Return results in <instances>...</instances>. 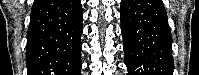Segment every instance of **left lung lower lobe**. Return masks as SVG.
Wrapping results in <instances>:
<instances>
[{"instance_id":"left-lung-lower-lobe-1","label":"left lung lower lobe","mask_w":199,"mask_h":75,"mask_svg":"<svg viewBox=\"0 0 199 75\" xmlns=\"http://www.w3.org/2000/svg\"><path fill=\"white\" fill-rule=\"evenodd\" d=\"M128 75H173L171 30L161 0H121Z\"/></svg>"}]
</instances>
